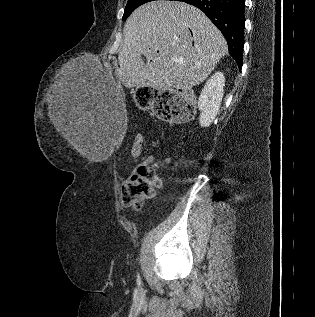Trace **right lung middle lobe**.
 <instances>
[{
  "mask_svg": "<svg viewBox=\"0 0 315 317\" xmlns=\"http://www.w3.org/2000/svg\"><path fill=\"white\" fill-rule=\"evenodd\" d=\"M154 0H128L122 20H125L137 7Z\"/></svg>",
  "mask_w": 315,
  "mask_h": 317,
  "instance_id": "right-lung-middle-lobe-1",
  "label": "right lung middle lobe"
}]
</instances>
